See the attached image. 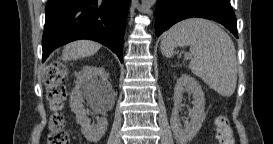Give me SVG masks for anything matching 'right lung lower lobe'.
<instances>
[{
	"mask_svg": "<svg viewBox=\"0 0 273 144\" xmlns=\"http://www.w3.org/2000/svg\"><path fill=\"white\" fill-rule=\"evenodd\" d=\"M130 0H48L42 39L43 61L59 46L78 39L100 42L122 61Z\"/></svg>",
	"mask_w": 273,
	"mask_h": 144,
	"instance_id": "98d812e1",
	"label": "right lung lower lobe"
}]
</instances>
